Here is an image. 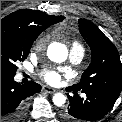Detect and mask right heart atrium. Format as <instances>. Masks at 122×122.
Segmentation results:
<instances>
[{
    "label": "right heart atrium",
    "instance_id": "obj_1",
    "mask_svg": "<svg viewBox=\"0 0 122 122\" xmlns=\"http://www.w3.org/2000/svg\"><path fill=\"white\" fill-rule=\"evenodd\" d=\"M42 44H43V40H39L37 43L38 46H41Z\"/></svg>",
    "mask_w": 122,
    "mask_h": 122
}]
</instances>
